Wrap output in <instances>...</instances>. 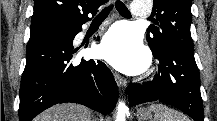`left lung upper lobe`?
I'll use <instances>...</instances> for the list:
<instances>
[{
  "instance_id": "left-lung-upper-lobe-1",
  "label": "left lung upper lobe",
  "mask_w": 217,
  "mask_h": 121,
  "mask_svg": "<svg viewBox=\"0 0 217 121\" xmlns=\"http://www.w3.org/2000/svg\"><path fill=\"white\" fill-rule=\"evenodd\" d=\"M192 0H153L155 25H150L146 35L152 51L168 45H178L194 51L190 34Z\"/></svg>"
}]
</instances>
